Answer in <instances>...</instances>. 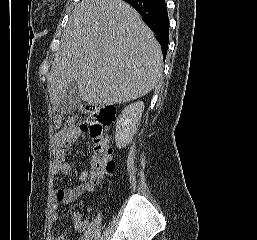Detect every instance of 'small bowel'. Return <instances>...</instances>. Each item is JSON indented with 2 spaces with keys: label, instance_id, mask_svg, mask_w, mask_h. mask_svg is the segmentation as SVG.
I'll list each match as a JSON object with an SVG mask.
<instances>
[{
  "label": "small bowel",
  "instance_id": "obj_1",
  "mask_svg": "<svg viewBox=\"0 0 257 240\" xmlns=\"http://www.w3.org/2000/svg\"><path fill=\"white\" fill-rule=\"evenodd\" d=\"M87 129L83 124L75 125L71 122L67 123L59 129L55 135V171L63 176H68L72 173L73 167L70 162L66 160V151L70 145ZM89 172L82 171L79 174V184L72 188L58 189L55 192V202L50 208V222L53 224L58 218V204H71L76 201L87 189ZM86 223L82 218L76 214L74 216V228L76 231L82 230ZM47 240H66L64 236L50 232Z\"/></svg>",
  "mask_w": 257,
  "mask_h": 240
}]
</instances>
